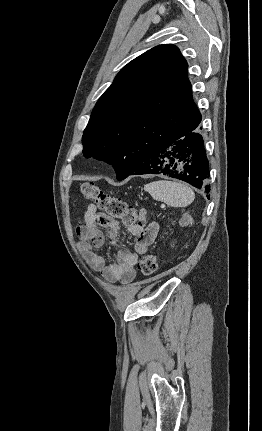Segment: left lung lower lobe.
I'll list each match as a JSON object with an SVG mask.
<instances>
[{
	"instance_id": "obj_1",
	"label": "left lung lower lobe",
	"mask_w": 262,
	"mask_h": 431,
	"mask_svg": "<svg viewBox=\"0 0 262 431\" xmlns=\"http://www.w3.org/2000/svg\"><path fill=\"white\" fill-rule=\"evenodd\" d=\"M200 123L201 116L141 156L130 175L163 174L209 192V162Z\"/></svg>"
}]
</instances>
